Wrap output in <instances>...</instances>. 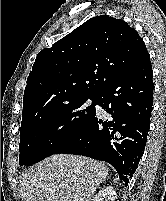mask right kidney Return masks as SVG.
<instances>
[{"instance_id": "ca27d5eb", "label": "right kidney", "mask_w": 166, "mask_h": 201, "mask_svg": "<svg viewBox=\"0 0 166 201\" xmlns=\"http://www.w3.org/2000/svg\"><path fill=\"white\" fill-rule=\"evenodd\" d=\"M116 191L112 186L102 188L92 199V201H115Z\"/></svg>"}]
</instances>
